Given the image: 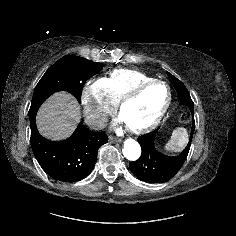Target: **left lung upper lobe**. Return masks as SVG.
<instances>
[{"label":"left lung upper lobe","mask_w":236,"mask_h":236,"mask_svg":"<svg viewBox=\"0 0 236 236\" xmlns=\"http://www.w3.org/2000/svg\"><path fill=\"white\" fill-rule=\"evenodd\" d=\"M167 75L177 91L178 98L179 99H191L190 94H189L187 88L185 87V85L180 80H178L176 77H174L172 74H170L169 72H167Z\"/></svg>","instance_id":"obj_1"}]
</instances>
